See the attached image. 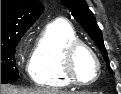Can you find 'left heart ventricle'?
I'll return each mask as SVG.
<instances>
[{
    "label": "left heart ventricle",
    "instance_id": "left-heart-ventricle-1",
    "mask_svg": "<svg viewBox=\"0 0 121 94\" xmlns=\"http://www.w3.org/2000/svg\"><path fill=\"white\" fill-rule=\"evenodd\" d=\"M74 69L76 75L82 81H90L96 77V62L93 56L84 48H81L75 56Z\"/></svg>",
    "mask_w": 121,
    "mask_h": 94
}]
</instances>
